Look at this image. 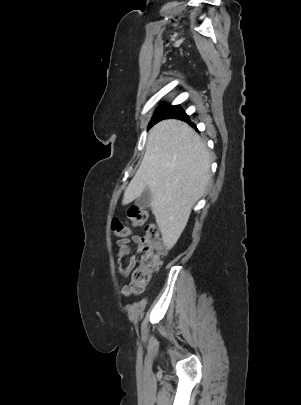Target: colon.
I'll return each mask as SVG.
<instances>
[{
    "mask_svg": "<svg viewBox=\"0 0 301 405\" xmlns=\"http://www.w3.org/2000/svg\"><path fill=\"white\" fill-rule=\"evenodd\" d=\"M147 218L148 213L146 210L131 207L127 212V223L119 219L112 221V232L115 236L126 237L130 234L131 227L145 225ZM141 240V250L137 257V265L132 271L129 285L130 291L135 293H140L145 289L153 274L160 269L162 258L166 253L159 229L154 223L145 225L144 235Z\"/></svg>",
    "mask_w": 301,
    "mask_h": 405,
    "instance_id": "1",
    "label": "colon"
}]
</instances>
